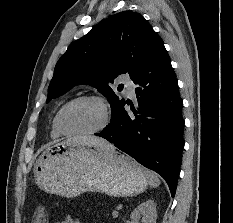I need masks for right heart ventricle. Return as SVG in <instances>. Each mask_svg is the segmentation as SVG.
<instances>
[{"instance_id":"e07e8e85","label":"right heart ventricle","mask_w":233,"mask_h":223,"mask_svg":"<svg viewBox=\"0 0 233 223\" xmlns=\"http://www.w3.org/2000/svg\"><path fill=\"white\" fill-rule=\"evenodd\" d=\"M55 117H56V116H55ZM55 117H54V119H53V121H52V124H51L50 136H51L52 139L57 140V139L61 138L63 135L60 134V133L57 131L56 127H55Z\"/></svg>"}]
</instances>
